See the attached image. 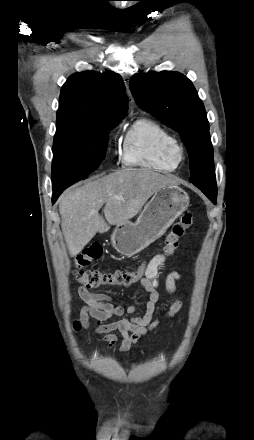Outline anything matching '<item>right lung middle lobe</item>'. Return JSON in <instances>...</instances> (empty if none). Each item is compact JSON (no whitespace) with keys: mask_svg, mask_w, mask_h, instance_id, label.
I'll return each instance as SVG.
<instances>
[{"mask_svg":"<svg viewBox=\"0 0 254 440\" xmlns=\"http://www.w3.org/2000/svg\"><path fill=\"white\" fill-rule=\"evenodd\" d=\"M120 121L91 123L57 119L53 145L52 185H71L86 179L106 155L107 130Z\"/></svg>","mask_w":254,"mask_h":440,"instance_id":"obj_1","label":"right lung middle lobe"}]
</instances>
